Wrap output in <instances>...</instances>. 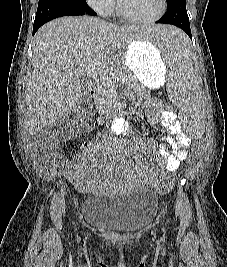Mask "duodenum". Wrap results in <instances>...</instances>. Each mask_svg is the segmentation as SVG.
Listing matches in <instances>:
<instances>
[{
	"instance_id": "410a0bca",
	"label": "duodenum",
	"mask_w": 227,
	"mask_h": 267,
	"mask_svg": "<svg viewBox=\"0 0 227 267\" xmlns=\"http://www.w3.org/2000/svg\"><path fill=\"white\" fill-rule=\"evenodd\" d=\"M87 93L90 97L96 94V87L94 85H90L87 89Z\"/></svg>"
}]
</instances>
